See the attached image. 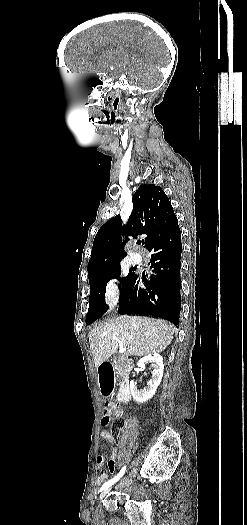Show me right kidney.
<instances>
[{
	"instance_id": "1",
	"label": "right kidney",
	"mask_w": 247,
	"mask_h": 525,
	"mask_svg": "<svg viewBox=\"0 0 247 525\" xmlns=\"http://www.w3.org/2000/svg\"><path fill=\"white\" fill-rule=\"evenodd\" d=\"M146 363H150V367H152L151 379L148 381L147 387H144V389H138L136 381H130L131 395L138 405L147 403V401L152 399L157 391V387H159L162 381L164 373L163 359L158 353H151V355L142 357V359L138 361L137 367H145Z\"/></svg>"
}]
</instances>
